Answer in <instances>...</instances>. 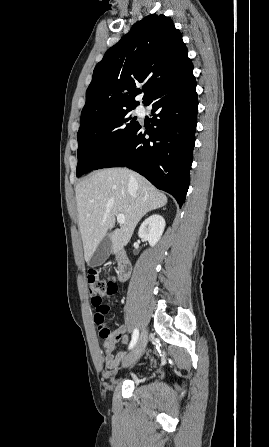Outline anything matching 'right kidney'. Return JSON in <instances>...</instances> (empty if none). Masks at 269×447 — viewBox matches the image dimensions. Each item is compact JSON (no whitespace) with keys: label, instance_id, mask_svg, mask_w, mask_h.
<instances>
[{"label":"right kidney","instance_id":"1","mask_svg":"<svg viewBox=\"0 0 269 447\" xmlns=\"http://www.w3.org/2000/svg\"><path fill=\"white\" fill-rule=\"evenodd\" d=\"M165 220L159 214H153L150 218H147L143 224L140 225L138 235L139 237H145L148 239L151 247L158 243L161 239V235L164 231Z\"/></svg>","mask_w":269,"mask_h":447}]
</instances>
